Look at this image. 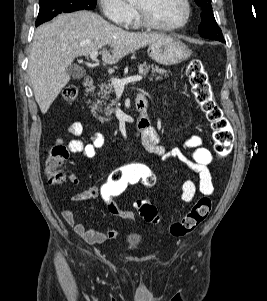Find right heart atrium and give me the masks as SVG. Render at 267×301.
<instances>
[{"mask_svg": "<svg viewBox=\"0 0 267 301\" xmlns=\"http://www.w3.org/2000/svg\"><path fill=\"white\" fill-rule=\"evenodd\" d=\"M102 13L120 27H127L135 16L133 7L125 0H98Z\"/></svg>", "mask_w": 267, "mask_h": 301, "instance_id": "right-heart-atrium-1", "label": "right heart atrium"}]
</instances>
